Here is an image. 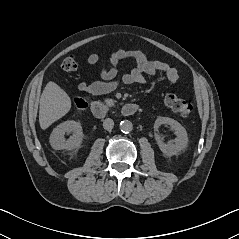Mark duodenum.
I'll return each mask as SVG.
<instances>
[{"label":"duodenum","mask_w":239,"mask_h":239,"mask_svg":"<svg viewBox=\"0 0 239 239\" xmlns=\"http://www.w3.org/2000/svg\"><path fill=\"white\" fill-rule=\"evenodd\" d=\"M91 113L98 119H103L107 115V106L100 102H92ZM139 110V105L136 103H126L121 107V114L124 116H132Z\"/></svg>","instance_id":"duodenum-1"}]
</instances>
